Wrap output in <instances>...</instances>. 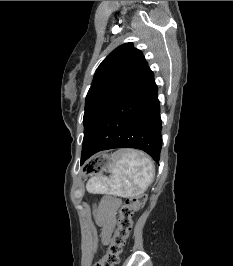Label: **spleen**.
Instances as JSON below:
<instances>
[{"label": "spleen", "instance_id": "3e777b00", "mask_svg": "<svg viewBox=\"0 0 233 266\" xmlns=\"http://www.w3.org/2000/svg\"><path fill=\"white\" fill-rule=\"evenodd\" d=\"M108 168L110 178L97 176L88 181L86 187L90 193L136 196L146 191L155 176L151 160L143 153L129 149L113 153Z\"/></svg>", "mask_w": 233, "mask_h": 266}]
</instances>
